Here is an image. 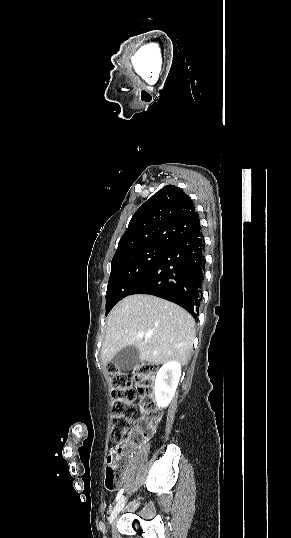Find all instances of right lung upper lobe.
Listing matches in <instances>:
<instances>
[{"label":"right lung upper lobe","instance_id":"obj_1","mask_svg":"<svg viewBox=\"0 0 291 538\" xmlns=\"http://www.w3.org/2000/svg\"><path fill=\"white\" fill-rule=\"evenodd\" d=\"M200 228L191 198L180 187L167 185L132 216L114 257L149 245L171 247Z\"/></svg>","mask_w":291,"mask_h":538}]
</instances>
